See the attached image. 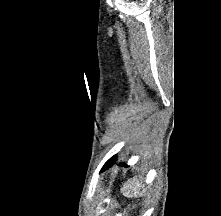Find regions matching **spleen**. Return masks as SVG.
I'll list each match as a JSON object with an SVG mask.
<instances>
[{
	"instance_id": "spleen-1",
	"label": "spleen",
	"mask_w": 221,
	"mask_h": 216,
	"mask_svg": "<svg viewBox=\"0 0 221 216\" xmlns=\"http://www.w3.org/2000/svg\"><path fill=\"white\" fill-rule=\"evenodd\" d=\"M141 187V185L139 183L135 184V192L138 193V189ZM127 196H129V192L126 193Z\"/></svg>"
}]
</instances>
